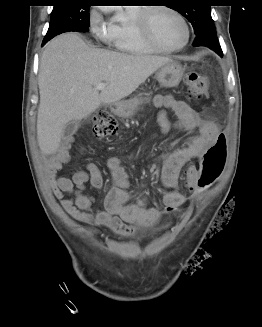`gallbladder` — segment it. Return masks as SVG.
Listing matches in <instances>:
<instances>
[{
    "mask_svg": "<svg viewBox=\"0 0 262 327\" xmlns=\"http://www.w3.org/2000/svg\"><path fill=\"white\" fill-rule=\"evenodd\" d=\"M78 129V122L77 121H71L69 123L66 124L65 128H64V136L66 138L71 137L73 134L76 133Z\"/></svg>",
    "mask_w": 262,
    "mask_h": 327,
    "instance_id": "bac80fb5",
    "label": "gallbladder"
}]
</instances>
